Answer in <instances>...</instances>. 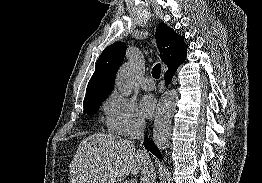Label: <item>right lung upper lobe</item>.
<instances>
[{"label":"right lung upper lobe","instance_id":"right-lung-upper-lobe-1","mask_svg":"<svg viewBox=\"0 0 262 183\" xmlns=\"http://www.w3.org/2000/svg\"><path fill=\"white\" fill-rule=\"evenodd\" d=\"M155 37L161 59L168 66L167 72L176 71L186 59L187 45L184 37L176 34L165 23L158 25ZM125 52L126 44L123 42H116L105 48L88 83L84 102L107 98L114 88L115 76Z\"/></svg>","mask_w":262,"mask_h":183}]
</instances>
